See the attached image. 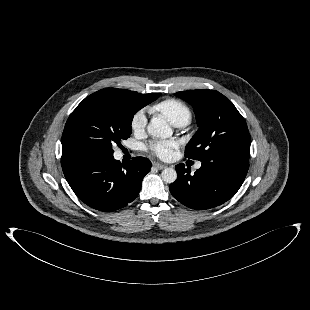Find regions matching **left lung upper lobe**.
I'll use <instances>...</instances> for the list:
<instances>
[{"label": "left lung upper lobe", "instance_id": "left-lung-upper-lobe-1", "mask_svg": "<svg viewBox=\"0 0 310 310\" xmlns=\"http://www.w3.org/2000/svg\"><path fill=\"white\" fill-rule=\"evenodd\" d=\"M175 95L194 108L199 127L185 148V157L201 162L219 158L248 161L250 134L236 107L215 90H189Z\"/></svg>", "mask_w": 310, "mask_h": 310}]
</instances>
